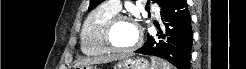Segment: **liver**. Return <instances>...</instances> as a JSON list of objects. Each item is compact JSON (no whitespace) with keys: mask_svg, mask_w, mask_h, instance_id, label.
<instances>
[{"mask_svg":"<svg viewBox=\"0 0 246 69\" xmlns=\"http://www.w3.org/2000/svg\"><path fill=\"white\" fill-rule=\"evenodd\" d=\"M120 58H122V56H115V55H109V56H103V57H95V58H87V59H83L82 61L78 62L76 64V67L86 66V65H89V64L109 62V61L117 60V59H120Z\"/></svg>","mask_w":246,"mask_h":69,"instance_id":"obj_1","label":"liver"}]
</instances>
